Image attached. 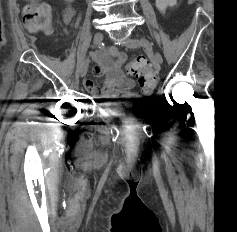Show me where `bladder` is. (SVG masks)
Segmentation results:
<instances>
[{
  "mask_svg": "<svg viewBox=\"0 0 237 232\" xmlns=\"http://www.w3.org/2000/svg\"><path fill=\"white\" fill-rule=\"evenodd\" d=\"M101 105L110 116L121 118L132 117L142 108V102L135 99L106 100Z\"/></svg>",
  "mask_w": 237,
  "mask_h": 232,
  "instance_id": "31cf9c89",
  "label": "bladder"
}]
</instances>
